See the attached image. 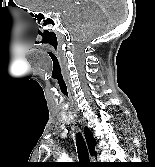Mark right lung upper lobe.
<instances>
[{"label":"right lung upper lobe","mask_w":155,"mask_h":167,"mask_svg":"<svg viewBox=\"0 0 155 167\" xmlns=\"http://www.w3.org/2000/svg\"><path fill=\"white\" fill-rule=\"evenodd\" d=\"M84 132H85V138H86V141H87V144H88L90 154L96 156V152L94 150L95 146H96V140L93 137V133L89 130L88 127H85ZM93 164L95 166L99 165L98 163H93ZM46 166L47 167H52V166H55V165L53 163H48V164H46Z\"/></svg>","instance_id":"cb5924a9"}]
</instances>
